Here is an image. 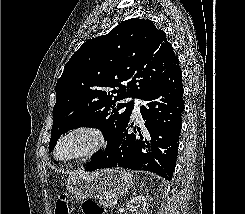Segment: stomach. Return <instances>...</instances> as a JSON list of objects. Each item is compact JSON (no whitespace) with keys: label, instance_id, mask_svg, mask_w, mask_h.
I'll return each instance as SVG.
<instances>
[{"label":"stomach","instance_id":"obj_1","mask_svg":"<svg viewBox=\"0 0 245 214\" xmlns=\"http://www.w3.org/2000/svg\"><path fill=\"white\" fill-rule=\"evenodd\" d=\"M134 184L132 174L123 168L101 169L92 173L76 172L67 180L68 191L77 199H113Z\"/></svg>","mask_w":245,"mask_h":214}]
</instances>
